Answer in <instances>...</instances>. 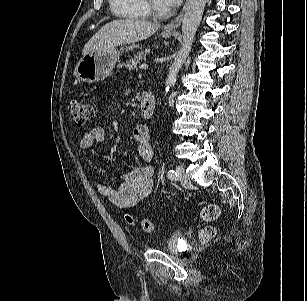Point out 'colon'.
Segmentation results:
<instances>
[{
    "label": "colon",
    "instance_id": "obj_1",
    "mask_svg": "<svg viewBox=\"0 0 307 301\" xmlns=\"http://www.w3.org/2000/svg\"><path fill=\"white\" fill-rule=\"evenodd\" d=\"M69 109L73 116L74 122L78 126H84L90 122L94 117L93 106L80 98H73L69 102ZM219 209L214 204L205 206L201 212V217L206 221H214L219 217ZM126 221L138 227L139 230L145 233L153 231V223L149 219H141L137 221L132 215L125 216ZM216 234V229L212 226H207L200 231L202 239L209 240Z\"/></svg>",
    "mask_w": 307,
    "mask_h": 301
}]
</instances>
